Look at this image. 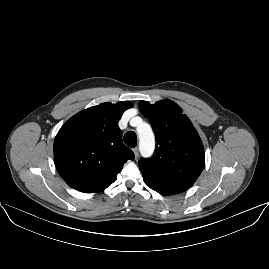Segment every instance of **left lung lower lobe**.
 Masks as SVG:
<instances>
[{
  "label": "left lung lower lobe",
  "instance_id": "left-lung-lower-lobe-1",
  "mask_svg": "<svg viewBox=\"0 0 269 269\" xmlns=\"http://www.w3.org/2000/svg\"><path fill=\"white\" fill-rule=\"evenodd\" d=\"M144 181L151 189L162 195L178 194L191 187L183 184L161 182L147 177H144Z\"/></svg>",
  "mask_w": 269,
  "mask_h": 269
}]
</instances>
